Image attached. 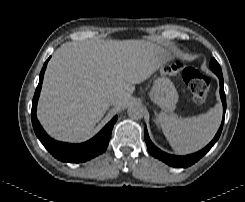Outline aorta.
Returning a JSON list of instances; mask_svg holds the SVG:
<instances>
[{"label":"aorta","mask_w":245,"mask_h":202,"mask_svg":"<svg viewBox=\"0 0 245 202\" xmlns=\"http://www.w3.org/2000/svg\"><path fill=\"white\" fill-rule=\"evenodd\" d=\"M128 116L133 120H140L144 116V109L142 106L133 104L127 109Z\"/></svg>","instance_id":"obj_1"}]
</instances>
